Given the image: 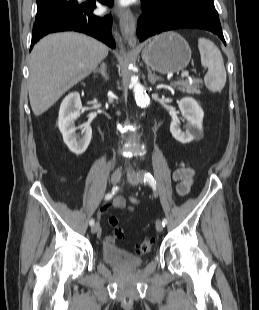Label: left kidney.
<instances>
[{
	"label": "left kidney",
	"instance_id": "left-kidney-1",
	"mask_svg": "<svg viewBox=\"0 0 259 310\" xmlns=\"http://www.w3.org/2000/svg\"><path fill=\"white\" fill-rule=\"evenodd\" d=\"M182 117L187 121L185 130L180 128L179 118H173L170 124L172 136L179 142L186 144L202 136L203 109L195 99L185 97L178 103Z\"/></svg>",
	"mask_w": 259,
	"mask_h": 310
}]
</instances>
